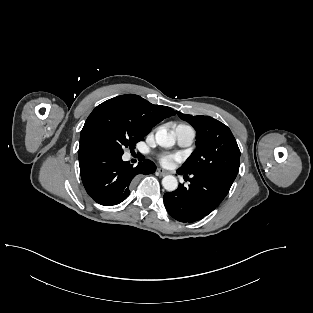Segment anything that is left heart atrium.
Segmentation results:
<instances>
[{
  "instance_id": "left-heart-atrium-1",
  "label": "left heart atrium",
  "mask_w": 313,
  "mask_h": 313,
  "mask_svg": "<svg viewBox=\"0 0 313 313\" xmlns=\"http://www.w3.org/2000/svg\"><path fill=\"white\" fill-rule=\"evenodd\" d=\"M181 160L180 154H164L160 157V162L164 166H170L174 161Z\"/></svg>"
}]
</instances>
